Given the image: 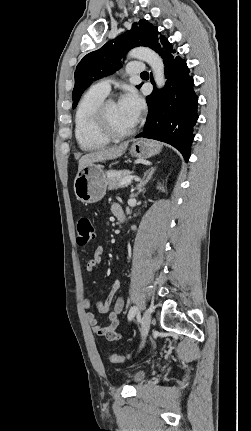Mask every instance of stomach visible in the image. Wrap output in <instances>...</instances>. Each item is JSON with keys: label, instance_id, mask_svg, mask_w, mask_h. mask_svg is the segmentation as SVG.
Here are the masks:
<instances>
[{"label": "stomach", "instance_id": "stomach-1", "mask_svg": "<svg viewBox=\"0 0 251 431\" xmlns=\"http://www.w3.org/2000/svg\"><path fill=\"white\" fill-rule=\"evenodd\" d=\"M161 151L159 143L137 140L130 147V154L139 159H147ZM106 173L103 166L95 163L87 164L75 177L74 192L77 199L84 204L100 201L107 189Z\"/></svg>", "mask_w": 251, "mask_h": 431}]
</instances>
